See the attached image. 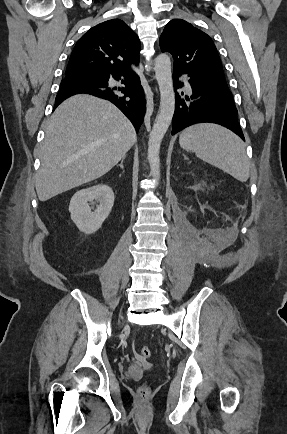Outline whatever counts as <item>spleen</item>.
<instances>
[{
	"label": "spleen",
	"instance_id": "1",
	"mask_svg": "<svg viewBox=\"0 0 287 434\" xmlns=\"http://www.w3.org/2000/svg\"><path fill=\"white\" fill-rule=\"evenodd\" d=\"M180 146L201 160L230 174L240 182L250 176V162L244 142L235 133L217 124L202 123L185 129Z\"/></svg>",
	"mask_w": 287,
	"mask_h": 434
}]
</instances>
